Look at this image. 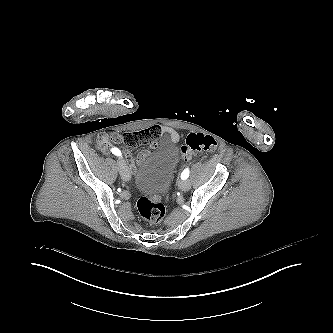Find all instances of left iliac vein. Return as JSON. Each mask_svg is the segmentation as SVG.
I'll return each instance as SVG.
<instances>
[{"label":"left iliac vein","instance_id":"1","mask_svg":"<svg viewBox=\"0 0 333 333\" xmlns=\"http://www.w3.org/2000/svg\"><path fill=\"white\" fill-rule=\"evenodd\" d=\"M178 186L181 190L187 191L191 188V183L188 180H180Z\"/></svg>","mask_w":333,"mask_h":333}]
</instances>
